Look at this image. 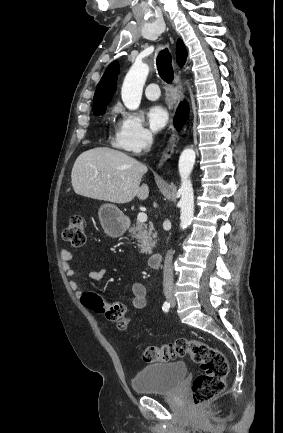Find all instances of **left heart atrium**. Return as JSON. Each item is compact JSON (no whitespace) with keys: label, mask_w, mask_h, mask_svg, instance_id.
<instances>
[{"label":"left heart atrium","mask_w":283,"mask_h":433,"mask_svg":"<svg viewBox=\"0 0 283 433\" xmlns=\"http://www.w3.org/2000/svg\"><path fill=\"white\" fill-rule=\"evenodd\" d=\"M168 121V113L161 106H153L148 112V124L152 132L161 131Z\"/></svg>","instance_id":"1"}]
</instances>
